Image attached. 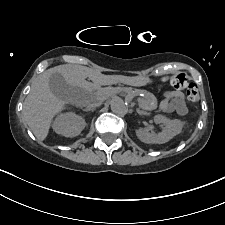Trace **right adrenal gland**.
<instances>
[{"mask_svg": "<svg viewBox=\"0 0 225 225\" xmlns=\"http://www.w3.org/2000/svg\"><path fill=\"white\" fill-rule=\"evenodd\" d=\"M94 109H92V108H86V109H84V111H93Z\"/></svg>", "mask_w": 225, "mask_h": 225, "instance_id": "obj_1", "label": "right adrenal gland"}]
</instances>
